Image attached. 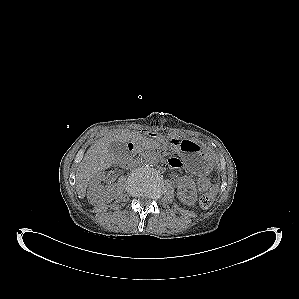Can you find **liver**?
Instances as JSON below:
<instances>
[{
	"mask_svg": "<svg viewBox=\"0 0 299 299\" xmlns=\"http://www.w3.org/2000/svg\"><path fill=\"white\" fill-rule=\"evenodd\" d=\"M136 132L129 130H114L107 132L96 140L87 150L76 172V190L79 198H84L89 182L100 172L110 168L117 154L109 152L112 142L126 143L136 136Z\"/></svg>",
	"mask_w": 299,
	"mask_h": 299,
	"instance_id": "liver-1",
	"label": "liver"
}]
</instances>
